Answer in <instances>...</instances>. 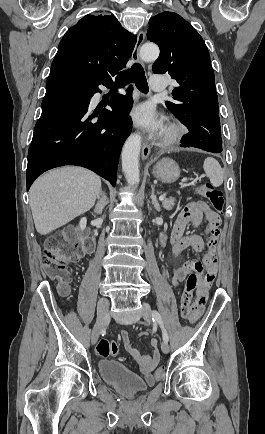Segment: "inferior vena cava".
I'll use <instances>...</instances> for the list:
<instances>
[{"instance_id":"1","label":"inferior vena cava","mask_w":265,"mask_h":434,"mask_svg":"<svg viewBox=\"0 0 265 434\" xmlns=\"http://www.w3.org/2000/svg\"><path fill=\"white\" fill-rule=\"evenodd\" d=\"M105 204H106L105 200H103V198H101L100 202H98V204L96 206L97 214H102V210H103Z\"/></svg>"}]
</instances>
